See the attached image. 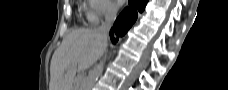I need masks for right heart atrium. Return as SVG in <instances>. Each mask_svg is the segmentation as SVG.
<instances>
[{
  "mask_svg": "<svg viewBox=\"0 0 228 90\" xmlns=\"http://www.w3.org/2000/svg\"><path fill=\"white\" fill-rule=\"evenodd\" d=\"M89 7V19L94 24H98L116 13L115 6L109 0H89Z\"/></svg>",
  "mask_w": 228,
  "mask_h": 90,
  "instance_id": "obj_1",
  "label": "right heart atrium"
}]
</instances>
